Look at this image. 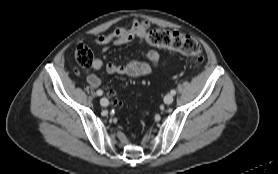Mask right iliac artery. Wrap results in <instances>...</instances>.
Returning <instances> with one entry per match:
<instances>
[{"instance_id":"obj_1","label":"right iliac artery","mask_w":278,"mask_h":174,"mask_svg":"<svg viewBox=\"0 0 278 174\" xmlns=\"http://www.w3.org/2000/svg\"><path fill=\"white\" fill-rule=\"evenodd\" d=\"M96 93H97L98 96H102L103 95V91L102 90H97Z\"/></svg>"}]
</instances>
